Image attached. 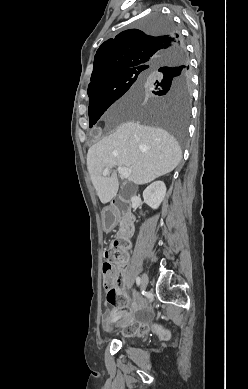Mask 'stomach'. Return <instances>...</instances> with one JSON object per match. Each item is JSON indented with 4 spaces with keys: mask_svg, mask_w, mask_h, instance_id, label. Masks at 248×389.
Instances as JSON below:
<instances>
[{
    "mask_svg": "<svg viewBox=\"0 0 248 389\" xmlns=\"http://www.w3.org/2000/svg\"><path fill=\"white\" fill-rule=\"evenodd\" d=\"M105 212H106V213H104V214L102 215V218H103L104 220H106V221H105V224H106V225H109V224H110V221H109V220H114L115 215H114V213H109V212H110V209H109V208H106V209H105Z\"/></svg>",
    "mask_w": 248,
    "mask_h": 389,
    "instance_id": "stomach-1",
    "label": "stomach"
}]
</instances>
